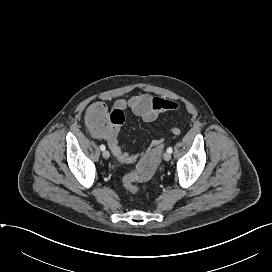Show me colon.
Segmentation results:
<instances>
[{"instance_id": "colon-1", "label": "colon", "mask_w": 272, "mask_h": 272, "mask_svg": "<svg viewBox=\"0 0 272 272\" xmlns=\"http://www.w3.org/2000/svg\"><path fill=\"white\" fill-rule=\"evenodd\" d=\"M86 121L94 133H103L111 127L121 125L124 121V113L118 109L110 111L104 103L95 102L88 107ZM162 148V145L154 148L138 163L135 171L123 178L125 189L133 194L138 193L139 188L136 183L147 181L153 176Z\"/></svg>"}]
</instances>
